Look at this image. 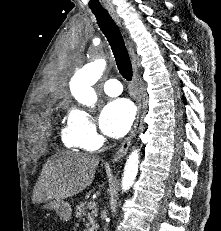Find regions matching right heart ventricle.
Returning <instances> with one entry per match:
<instances>
[{
    "label": "right heart ventricle",
    "mask_w": 221,
    "mask_h": 231,
    "mask_svg": "<svg viewBox=\"0 0 221 231\" xmlns=\"http://www.w3.org/2000/svg\"><path fill=\"white\" fill-rule=\"evenodd\" d=\"M62 140L66 147L71 149H78L80 148V144L75 137V134L71 128V125L68 121L67 125L62 129Z\"/></svg>",
    "instance_id": "obj_1"
}]
</instances>
